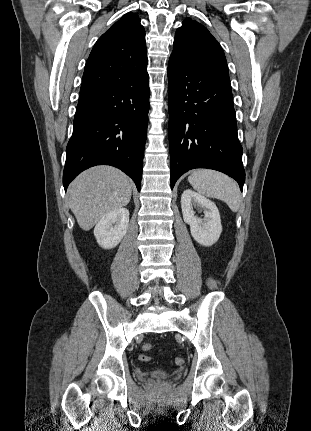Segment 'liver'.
I'll use <instances>...</instances> for the list:
<instances>
[{
	"instance_id": "6515ba94",
	"label": "liver",
	"mask_w": 311,
	"mask_h": 431,
	"mask_svg": "<svg viewBox=\"0 0 311 431\" xmlns=\"http://www.w3.org/2000/svg\"><path fill=\"white\" fill-rule=\"evenodd\" d=\"M69 208L88 231L100 217L127 206L132 196L128 176L111 166H96L79 174L68 188Z\"/></svg>"
}]
</instances>
